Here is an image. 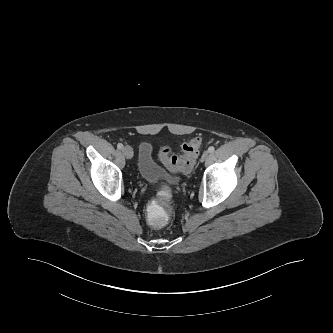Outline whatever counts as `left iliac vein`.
Segmentation results:
<instances>
[{
  "mask_svg": "<svg viewBox=\"0 0 333 333\" xmlns=\"http://www.w3.org/2000/svg\"><path fill=\"white\" fill-rule=\"evenodd\" d=\"M209 157V152L205 151L201 156V162H204Z\"/></svg>",
  "mask_w": 333,
  "mask_h": 333,
  "instance_id": "1",
  "label": "left iliac vein"
}]
</instances>
